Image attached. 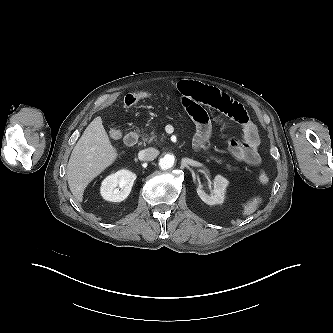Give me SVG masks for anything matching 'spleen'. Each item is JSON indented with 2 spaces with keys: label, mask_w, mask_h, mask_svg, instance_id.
Instances as JSON below:
<instances>
[{
  "label": "spleen",
  "mask_w": 333,
  "mask_h": 333,
  "mask_svg": "<svg viewBox=\"0 0 333 333\" xmlns=\"http://www.w3.org/2000/svg\"><path fill=\"white\" fill-rule=\"evenodd\" d=\"M258 203H259V201L257 199H254V200L248 202L244 206V215H250V214L254 213L258 207Z\"/></svg>",
  "instance_id": "1"
}]
</instances>
